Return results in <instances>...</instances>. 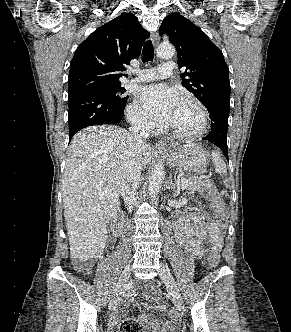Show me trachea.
<instances>
[{
	"mask_svg": "<svg viewBox=\"0 0 291 332\" xmlns=\"http://www.w3.org/2000/svg\"><path fill=\"white\" fill-rule=\"evenodd\" d=\"M142 52H143V58H142L143 62L153 61L154 51H153V46H152L151 40H147L144 43Z\"/></svg>",
	"mask_w": 291,
	"mask_h": 332,
	"instance_id": "3493384b",
	"label": "trachea"
}]
</instances>
